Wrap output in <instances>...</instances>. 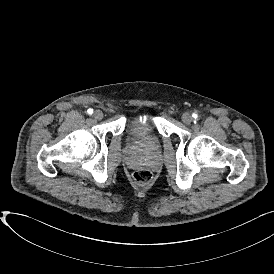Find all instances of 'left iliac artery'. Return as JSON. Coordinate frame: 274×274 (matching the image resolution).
<instances>
[{"instance_id": "left-iliac-artery-1", "label": "left iliac artery", "mask_w": 274, "mask_h": 274, "mask_svg": "<svg viewBox=\"0 0 274 274\" xmlns=\"http://www.w3.org/2000/svg\"><path fill=\"white\" fill-rule=\"evenodd\" d=\"M192 117H193L194 119H197V118H198V115L195 114V113H193V114H192Z\"/></svg>"}]
</instances>
